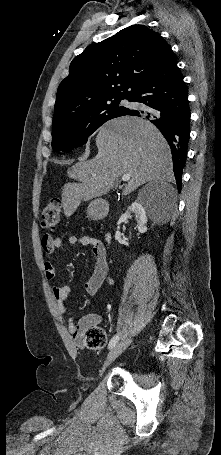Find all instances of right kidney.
<instances>
[{
    "instance_id": "1",
    "label": "right kidney",
    "mask_w": 221,
    "mask_h": 455,
    "mask_svg": "<svg viewBox=\"0 0 221 455\" xmlns=\"http://www.w3.org/2000/svg\"><path fill=\"white\" fill-rule=\"evenodd\" d=\"M131 213L134 214L135 220L137 221V226H138V231L140 233H145L147 231V217H146V212L145 209L143 208L142 204L139 202L135 201L131 204V206L128 207L127 211L121 215V217L118 220V227L117 231L115 234V239L119 243H124L123 240L121 239V234L119 232V225L125 221H127L129 218H131ZM128 245V243H125Z\"/></svg>"
}]
</instances>
